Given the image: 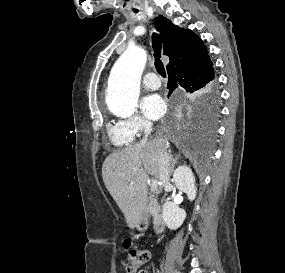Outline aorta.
<instances>
[{
	"label": "aorta",
	"mask_w": 285,
	"mask_h": 273,
	"mask_svg": "<svg viewBox=\"0 0 285 273\" xmlns=\"http://www.w3.org/2000/svg\"><path fill=\"white\" fill-rule=\"evenodd\" d=\"M146 58L144 49L133 46L127 48L114 64L106 95L107 107L113 114L128 117L135 112Z\"/></svg>",
	"instance_id": "1"
}]
</instances>
